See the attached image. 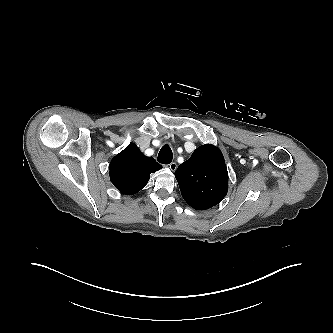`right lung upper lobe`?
<instances>
[{"instance_id": "cb5924a9", "label": "right lung upper lobe", "mask_w": 333, "mask_h": 333, "mask_svg": "<svg viewBox=\"0 0 333 333\" xmlns=\"http://www.w3.org/2000/svg\"><path fill=\"white\" fill-rule=\"evenodd\" d=\"M110 179L123 194L133 195L148 182L150 174L161 169L154 158L145 156L139 148L130 143L110 162Z\"/></svg>"}]
</instances>
